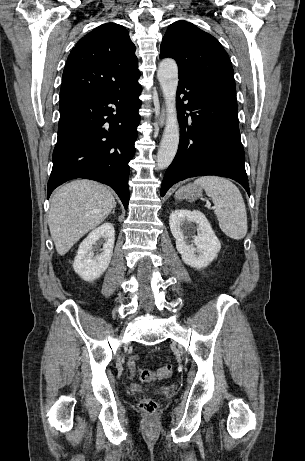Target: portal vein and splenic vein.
<instances>
[{
    "label": "portal vein and splenic vein",
    "mask_w": 305,
    "mask_h": 461,
    "mask_svg": "<svg viewBox=\"0 0 305 461\" xmlns=\"http://www.w3.org/2000/svg\"><path fill=\"white\" fill-rule=\"evenodd\" d=\"M207 205H208V206H210V203H209V202H207Z\"/></svg>",
    "instance_id": "portal-vein-and-splenic-vein-1"
}]
</instances>
